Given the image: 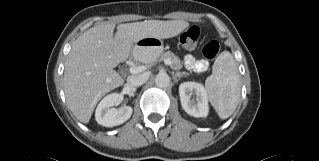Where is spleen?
<instances>
[{"label":"spleen","instance_id":"obj_1","mask_svg":"<svg viewBox=\"0 0 319 161\" xmlns=\"http://www.w3.org/2000/svg\"><path fill=\"white\" fill-rule=\"evenodd\" d=\"M205 88L218 116L221 119L230 117L238 106L241 94L238 68L230 52L223 51L216 58Z\"/></svg>","mask_w":319,"mask_h":161}]
</instances>
